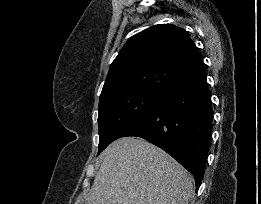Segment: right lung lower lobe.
<instances>
[{"label": "right lung lower lobe", "instance_id": "1", "mask_svg": "<svg viewBox=\"0 0 261 204\" xmlns=\"http://www.w3.org/2000/svg\"><path fill=\"white\" fill-rule=\"evenodd\" d=\"M213 109L204 66L168 89L162 100L120 137L137 136L160 147L201 185L212 133Z\"/></svg>", "mask_w": 261, "mask_h": 204}]
</instances>
